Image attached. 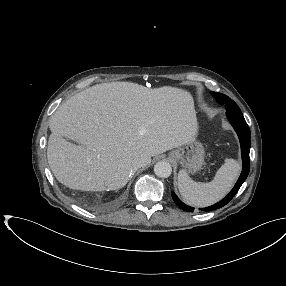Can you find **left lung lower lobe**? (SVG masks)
Wrapping results in <instances>:
<instances>
[{
    "label": "left lung lower lobe",
    "mask_w": 286,
    "mask_h": 286,
    "mask_svg": "<svg viewBox=\"0 0 286 286\" xmlns=\"http://www.w3.org/2000/svg\"><path fill=\"white\" fill-rule=\"evenodd\" d=\"M226 115L230 123L234 127L235 131L237 132L239 140H240L243 169H242V172H241V175L238 181L236 182L231 192L220 202L202 209L203 211H212V210L219 209L225 206L237 193V191L239 190L243 182L246 180L249 174V170H250V158H249V151H250V146H251L250 129L242 113L226 112ZM172 198L179 208L187 212H193L194 208L180 201V199L175 195V193H172Z\"/></svg>",
    "instance_id": "1"
}]
</instances>
